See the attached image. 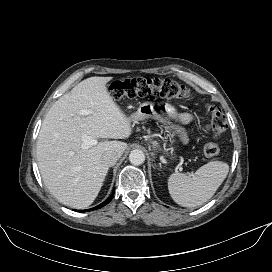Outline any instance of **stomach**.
I'll list each match as a JSON object with an SVG mask.
<instances>
[{"instance_id": "0dacf381", "label": "stomach", "mask_w": 272, "mask_h": 272, "mask_svg": "<svg viewBox=\"0 0 272 272\" xmlns=\"http://www.w3.org/2000/svg\"><path fill=\"white\" fill-rule=\"evenodd\" d=\"M176 110L173 106L164 102H145L140 104L137 111L129 116V119L133 122L143 121L149 118L155 119L162 123L169 133L168 136L173 138L175 133L171 129V119L176 118ZM174 141H172L173 143ZM166 156L170 159H174L175 147L165 149Z\"/></svg>"}]
</instances>
